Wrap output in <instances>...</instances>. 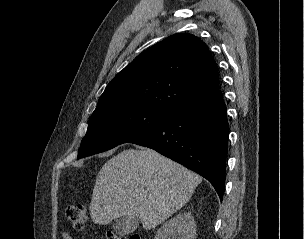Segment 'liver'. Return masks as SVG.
<instances>
[{"label": "liver", "instance_id": "obj_1", "mask_svg": "<svg viewBox=\"0 0 304 239\" xmlns=\"http://www.w3.org/2000/svg\"><path fill=\"white\" fill-rule=\"evenodd\" d=\"M202 178L149 148L126 149L97 175L90 203L94 223L138 217L143 228L160 225L191 198Z\"/></svg>", "mask_w": 304, "mask_h": 239}]
</instances>
